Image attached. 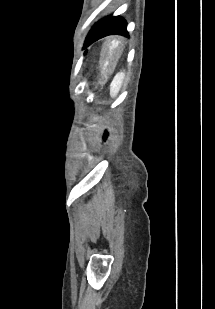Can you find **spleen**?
<instances>
[{"label":"spleen","instance_id":"1","mask_svg":"<svg viewBox=\"0 0 215 309\" xmlns=\"http://www.w3.org/2000/svg\"><path fill=\"white\" fill-rule=\"evenodd\" d=\"M120 76H121V74H117V76H115V78H114V84H117V86H120V84H121Z\"/></svg>","mask_w":215,"mask_h":309}]
</instances>
